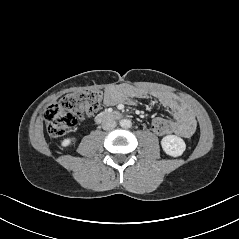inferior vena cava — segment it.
I'll list each match as a JSON object with an SVG mask.
<instances>
[{
  "mask_svg": "<svg viewBox=\"0 0 239 239\" xmlns=\"http://www.w3.org/2000/svg\"><path fill=\"white\" fill-rule=\"evenodd\" d=\"M116 125H117L116 121H114L111 118H107V119L103 120V122H102V128L107 131L114 129L116 127Z\"/></svg>",
  "mask_w": 239,
  "mask_h": 239,
  "instance_id": "obj_1",
  "label": "inferior vena cava"
}]
</instances>
